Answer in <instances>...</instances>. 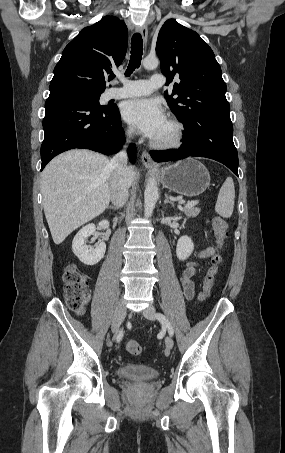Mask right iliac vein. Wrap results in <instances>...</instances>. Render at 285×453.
I'll return each instance as SVG.
<instances>
[{"label":"right iliac vein","mask_w":285,"mask_h":453,"mask_svg":"<svg viewBox=\"0 0 285 453\" xmlns=\"http://www.w3.org/2000/svg\"><path fill=\"white\" fill-rule=\"evenodd\" d=\"M126 316V307L123 301H120L116 307L114 312V316L112 318L111 323V331L113 333L117 332L119 327L121 326L122 322L124 321Z\"/></svg>","instance_id":"1"}]
</instances>
